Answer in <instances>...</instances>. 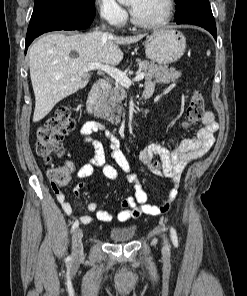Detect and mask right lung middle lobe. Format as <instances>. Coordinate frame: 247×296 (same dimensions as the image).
<instances>
[{
    "instance_id": "dd1d6c3e",
    "label": "right lung middle lobe",
    "mask_w": 247,
    "mask_h": 296,
    "mask_svg": "<svg viewBox=\"0 0 247 296\" xmlns=\"http://www.w3.org/2000/svg\"><path fill=\"white\" fill-rule=\"evenodd\" d=\"M63 6L71 15L95 13V0H35L31 18H35L53 8Z\"/></svg>"
}]
</instances>
